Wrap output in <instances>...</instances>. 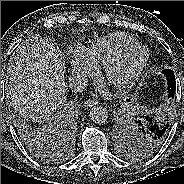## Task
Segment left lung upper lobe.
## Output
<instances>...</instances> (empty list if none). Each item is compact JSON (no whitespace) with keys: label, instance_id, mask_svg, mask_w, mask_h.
Here are the masks:
<instances>
[{"label":"left lung upper lobe","instance_id":"left-lung-upper-lobe-1","mask_svg":"<svg viewBox=\"0 0 184 184\" xmlns=\"http://www.w3.org/2000/svg\"><path fill=\"white\" fill-rule=\"evenodd\" d=\"M129 127V137L125 139L124 150L131 156H147L157 150L167 138L159 137L150 131L143 118L135 117Z\"/></svg>","mask_w":184,"mask_h":184}]
</instances>
